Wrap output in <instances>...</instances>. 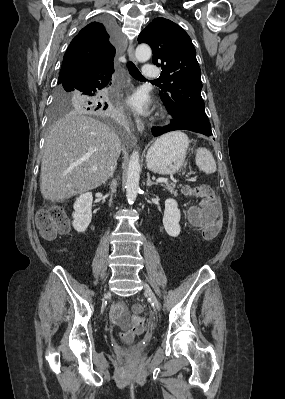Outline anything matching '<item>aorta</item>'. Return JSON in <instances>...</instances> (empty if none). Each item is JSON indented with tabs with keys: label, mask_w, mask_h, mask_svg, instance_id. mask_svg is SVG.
Segmentation results:
<instances>
[{
	"label": "aorta",
	"mask_w": 285,
	"mask_h": 399,
	"mask_svg": "<svg viewBox=\"0 0 285 399\" xmlns=\"http://www.w3.org/2000/svg\"><path fill=\"white\" fill-rule=\"evenodd\" d=\"M152 55L151 48L147 44H140L136 48L135 56L139 62H146ZM139 179H140V162H139V151L135 150L131 154L126 180V198L129 204H133L136 200L139 190Z\"/></svg>",
	"instance_id": "762f6f07"
}]
</instances>
